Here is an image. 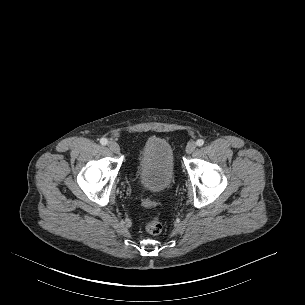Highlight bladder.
<instances>
[{
    "label": "bladder",
    "instance_id": "obj_1",
    "mask_svg": "<svg viewBox=\"0 0 305 305\" xmlns=\"http://www.w3.org/2000/svg\"><path fill=\"white\" fill-rule=\"evenodd\" d=\"M139 178L152 191L170 188L175 181V164L170 143L160 137L148 138L137 154Z\"/></svg>",
    "mask_w": 305,
    "mask_h": 305
}]
</instances>
